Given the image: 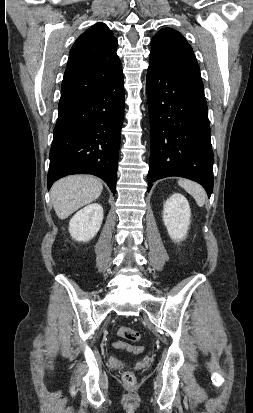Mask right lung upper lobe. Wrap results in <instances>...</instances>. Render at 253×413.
I'll list each match as a JSON object with an SVG mask.
<instances>
[{
    "mask_svg": "<svg viewBox=\"0 0 253 413\" xmlns=\"http://www.w3.org/2000/svg\"><path fill=\"white\" fill-rule=\"evenodd\" d=\"M117 40L103 23L86 30L70 50L59 106L82 99L106 86L121 72Z\"/></svg>",
    "mask_w": 253,
    "mask_h": 413,
    "instance_id": "obj_1",
    "label": "right lung upper lobe"
}]
</instances>
